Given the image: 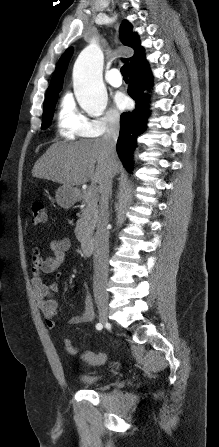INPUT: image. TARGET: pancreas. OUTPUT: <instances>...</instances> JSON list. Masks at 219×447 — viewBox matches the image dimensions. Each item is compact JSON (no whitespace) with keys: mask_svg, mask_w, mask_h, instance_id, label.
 <instances>
[{"mask_svg":"<svg viewBox=\"0 0 219 447\" xmlns=\"http://www.w3.org/2000/svg\"><path fill=\"white\" fill-rule=\"evenodd\" d=\"M82 199L84 208L81 210L80 218L77 220L75 235L78 241L85 242L91 238L98 219V196H89L88 192L84 191Z\"/></svg>","mask_w":219,"mask_h":447,"instance_id":"1","label":"pancreas"}]
</instances>
